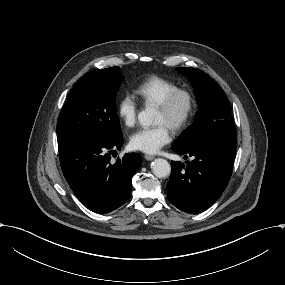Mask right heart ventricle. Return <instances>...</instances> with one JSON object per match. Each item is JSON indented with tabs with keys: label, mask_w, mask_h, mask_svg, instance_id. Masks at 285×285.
Listing matches in <instances>:
<instances>
[{
	"label": "right heart ventricle",
	"mask_w": 285,
	"mask_h": 285,
	"mask_svg": "<svg viewBox=\"0 0 285 285\" xmlns=\"http://www.w3.org/2000/svg\"><path fill=\"white\" fill-rule=\"evenodd\" d=\"M178 83L170 78L152 76L138 84L134 90L137 100L144 106H156Z\"/></svg>",
	"instance_id": "e07e8e85"
}]
</instances>
